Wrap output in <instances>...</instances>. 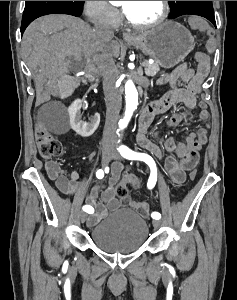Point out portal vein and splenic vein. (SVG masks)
<instances>
[{
    "mask_svg": "<svg viewBox=\"0 0 237 300\" xmlns=\"http://www.w3.org/2000/svg\"><path fill=\"white\" fill-rule=\"evenodd\" d=\"M142 64H143V68H146V67H147V66H146V65H147V62H146V61H144Z\"/></svg>",
    "mask_w": 237,
    "mask_h": 300,
    "instance_id": "obj_1",
    "label": "portal vein and splenic vein"
}]
</instances>
